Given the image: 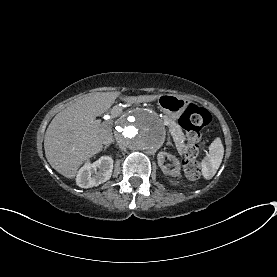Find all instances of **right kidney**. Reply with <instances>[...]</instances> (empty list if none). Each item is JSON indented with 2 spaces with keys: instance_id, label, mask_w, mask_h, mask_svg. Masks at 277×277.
<instances>
[{
  "instance_id": "right-kidney-1",
  "label": "right kidney",
  "mask_w": 277,
  "mask_h": 277,
  "mask_svg": "<svg viewBox=\"0 0 277 277\" xmlns=\"http://www.w3.org/2000/svg\"><path fill=\"white\" fill-rule=\"evenodd\" d=\"M113 159L102 156L94 163L86 162L78 171L76 184L81 188L98 186L111 178Z\"/></svg>"
}]
</instances>
